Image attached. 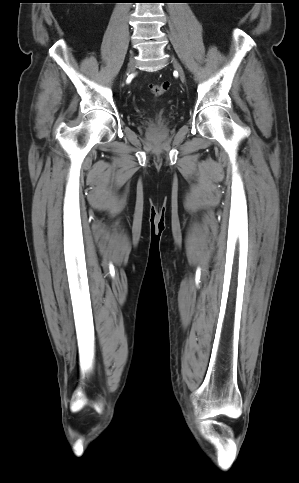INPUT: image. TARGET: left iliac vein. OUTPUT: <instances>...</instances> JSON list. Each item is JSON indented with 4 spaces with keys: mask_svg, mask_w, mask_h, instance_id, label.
Returning <instances> with one entry per match:
<instances>
[{
    "mask_svg": "<svg viewBox=\"0 0 299 483\" xmlns=\"http://www.w3.org/2000/svg\"><path fill=\"white\" fill-rule=\"evenodd\" d=\"M171 62L174 68L178 71L181 81L185 82V74L179 62L174 57H171Z\"/></svg>",
    "mask_w": 299,
    "mask_h": 483,
    "instance_id": "left-iliac-vein-1",
    "label": "left iliac vein"
}]
</instances>
